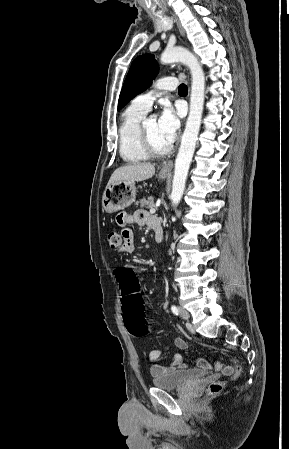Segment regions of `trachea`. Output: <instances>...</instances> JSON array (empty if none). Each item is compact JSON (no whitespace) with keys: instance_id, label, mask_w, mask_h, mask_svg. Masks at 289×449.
I'll list each match as a JSON object with an SVG mask.
<instances>
[{"instance_id":"3493384b","label":"trachea","mask_w":289,"mask_h":449,"mask_svg":"<svg viewBox=\"0 0 289 449\" xmlns=\"http://www.w3.org/2000/svg\"><path fill=\"white\" fill-rule=\"evenodd\" d=\"M178 92H179V93H187V92H188L187 86H186L185 84H181V85L178 87Z\"/></svg>"}]
</instances>
